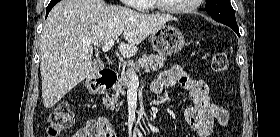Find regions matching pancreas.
I'll list each match as a JSON object with an SVG mask.
<instances>
[{
    "label": "pancreas",
    "mask_w": 280,
    "mask_h": 137,
    "mask_svg": "<svg viewBox=\"0 0 280 137\" xmlns=\"http://www.w3.org/2000/svg\"><path fill=\"white\" fill-rule=\"evenodd\" d=\"M166 61V57L162 55H144L138 59L137 62L132 64L127 71L121 73L120 78L117 83L114 85V90L116 94L106 93L103 98L106 107H114L117 106L118 95H125V89L130 84V76L132 73L139 72L140 70L148 72L149 70L158 71L164 66V62Z\"/></svg>",
    "instance_id": "cf45deb5"
}]
</instances>
